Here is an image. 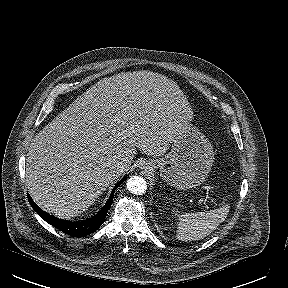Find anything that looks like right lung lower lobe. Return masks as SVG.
Instances as JSON below:
<instances>
[{
    "label": "right lung lower lobe",
    "mask_w": 288,
    "mask_h": 288,
    "mask_svg": "<svg viewBox=\"0 0 288 288\" xmlns=\"http://www.w3.org/2000/svg\"><path fill=\"white\" fill-rule=\"evenodd\" d=\"M126 178L121 179L114 187L110 198L106 202L105 206L99 211L95 216L85 221L80 222H70L50 216L45 211L41 210L32 200L30 195H28V200L32 208L49 224L61 230L62 232L74 236L83 237L88 234L95 232L105 221L106 214L112 205L113 196L115 190L125 181Z\"/></svg>",
    "instance_id": "obj_1"
}]
</instances>
